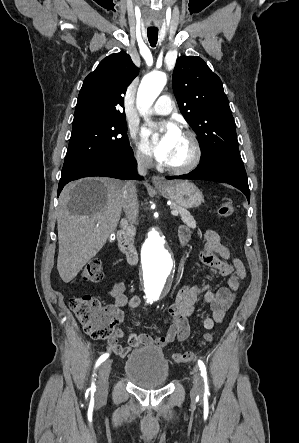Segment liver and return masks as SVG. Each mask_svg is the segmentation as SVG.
Segmentation results:
<instances>
[{"label":"liver","mask_w":299,"mask_h":443,"mask_svg":"<svg viewBox=\"0 0 299 443\" xmlns=\"http://www.w3.org/2000/svg\"><path fill=\"white\" fill-rule=\"evenodd\" d=\"M124 182L88 178L69 183L59 197L57 269L68 283L102 249L116 230Z\"/></svg>","instance_id":"6515ba94"}]
</instances>
